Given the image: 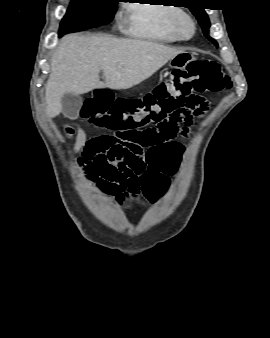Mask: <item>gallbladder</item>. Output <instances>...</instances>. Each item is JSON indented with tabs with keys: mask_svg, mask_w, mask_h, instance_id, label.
I'll use <instances>...</instances> for the list:
<instances>
[{
	"mask_svg": "<svg viewBox=\"0 0 270 338\" xmlns=\"http://www.w3.org/2000/svg\"><path fill=\"white\" fill-rule=\"evenodd\" d=\"M63 115L69 119H76L83 104L80 95L66 93L61 98Z\"/></svg>",
	"mask_w": 270,
	"mask_h": 338,
	"instance_id": "bac80fb5",
	"label": "gallbladder"
}]
</instances>
